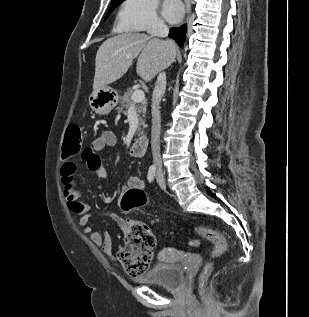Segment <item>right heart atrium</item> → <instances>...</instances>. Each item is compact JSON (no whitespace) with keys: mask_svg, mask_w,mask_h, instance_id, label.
Returning a JSON list of instances; mask_svg holds the SVG:
<instances>
[{"mask_svg":"<svg viewBox=\"0 0 309 317\" xmlns=\"http://www.w3.org/2000/svg\"><path fill=\"white\" fill-rule=\"evenodd\" d=\"M118 23L124 30L133 32H152L165 26L158 14L157 0H124Z\"/></svg>","mask_w":309,"mask_h":317,"instance_id":"obj_1","label":"right heart atrium"}]
</instances>
